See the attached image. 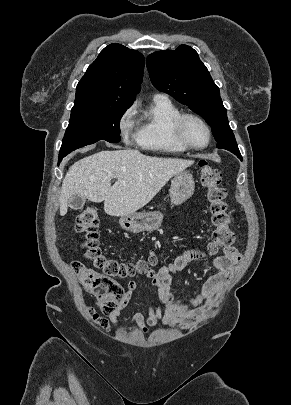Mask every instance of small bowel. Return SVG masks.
<instances>
[{
  "instance_id": "1",
  "label": "small bowel",
  "mask_w": 291,
  "mask_h": 405,
  "mask_svg": "<svg viewBox=\"0 0 291 405\" xmlns=\"http://www.w3.org/2000/svg\"><path fill=\"white\" fill-rule=\"evenodd\" d=\"M199 248L190 249L180 254L172 263L163 265L159 270H148L146 277L150 279L158 296L157 306H148L147 315L136 312L132 322L138 331L145 335L150 327L158 324L165 326L179 325L182 330H189L202 323L216 306L222 292L233 276L234 266L240 261L241 253L237 247L223 249V255L213 260L212 265L218 273L210 277L202 286L200 292L194 297L178 299L170 290L173 277L185 269L192 261L203 257ZM135 279L127 283L126 292L120 301L118 311L109 316V320L100 317L93 307H88L90 318L104 329H109L110 323L118 326V313L130 301L137 288Z\"/></svg>"
}]
</instances>
